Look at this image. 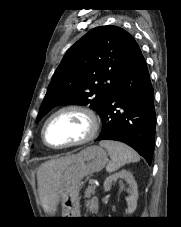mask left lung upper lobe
I'll return each instance as SVG.
<instances>
[{"label": "left lung upper lobe", "instance_id": "obj_1", "mask_svg": "<svg viewBox=\"0 0 181 227\" xmlns=\"http://www.w3.org/2000/svg\"><path fill=\"white\" fill-rule=\"evenodd\" d=\"M139 50L117 26H100L78 40L56 69L36 122L56 105H87L103 115L114 88Z\"/></svg>", "mask_w": 181, "mask_h": 227}]
</instances>
